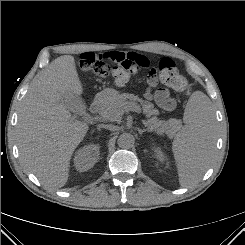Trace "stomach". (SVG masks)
<instances>
[{
  "instance_id": "1",
  "label": "stomach",
  "mask_w": 245,
  "mask_h": 245,
  "mask_svg": "<svg viewBox=\"0 0 245 245\" xmlns=\"http://www.w3.org/2000/svg\"><path fill=\"white\" fill-rule=\"evenodd\" d=\"M103 95L106 98L113 100L117 96V91L113 88H108L103 91Z\"/></svg>"
}]
</instances>
